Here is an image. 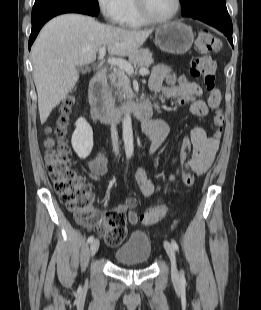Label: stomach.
I'll return each instance as SVG.
<instances>
[{
  "mask_svg": "<svg viewBox=\"0 0 261 310\" xmlns=\"http://www.w3.org/2000/svg\"><path fill=\"white\" fill-rule=\"evenodd\" d=\"M193 41L191 27L181 22L166 23L155 31L156 45L167 53L184 54L191 48Z\"/></svg>",
  "mask_w": 261,
  "mask_h": 310,
  "instance_id": "obj_1",
  "label": "stomach"
}]
</instances>
